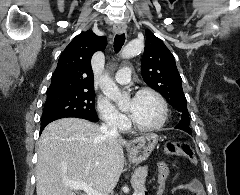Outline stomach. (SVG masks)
<instances>
[{
  "instance_id": "obj_1",
  "label": "stomach",
  "mask_w": 240,
  "mask_h": 195,
  "mask_svg": "<svg viewBox=\"0 0 240 195\" xmlns=\"http://www.w3.org/2000/svg\"><path fill=\"white\" fill-rule=\"evenodd\" d=\"M140 141L132 147H128V159L131 163H141L152 153L157 141V133H144L139 137Z\"/></svg>"
}]
</instances>
